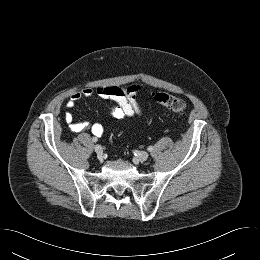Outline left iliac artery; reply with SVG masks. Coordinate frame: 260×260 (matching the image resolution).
<instances>
[{
    "instance_id": "left-iliac-artery-1",
    "label": "left iliac artery",
    "mask_w": 260,
    "mask_h": 260,
    "mask_svg": "<svg viewBox=\"0 0 260 260\" xmlns=\"http://www.w3.org/2000/svg\"><path fill=\"white\" fill-rule=\"evenodd\" d=\"M147 150H148L149 152H151V151L153 150V146H149V147L147 148Z\"/></svg>"
}]
</instances>
